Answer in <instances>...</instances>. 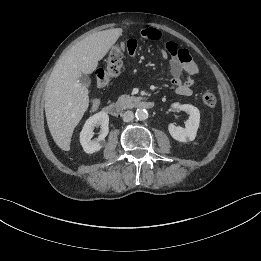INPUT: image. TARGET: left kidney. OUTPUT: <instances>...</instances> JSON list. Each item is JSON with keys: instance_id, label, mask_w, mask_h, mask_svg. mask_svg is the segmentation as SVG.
<instances>
[{"instance_id": "left-kidney-1", "label": "left kidney", "mask_w": 261, "mask_h": 261, "mask_svg": "<svg viewBox=\"0 0 261 261\" xmlns=\"http://www.w3.org/2000/svg\"><path fill=\"white\" fill-rule=\"evenodd\" d=\"M174 108H178L189 114V119L185 122V127L169 124L168 130L170 135L179 142L193 141L196 137L200 123V112L197 107L190 104H173Z\"/></svg>"}]
</instances>
